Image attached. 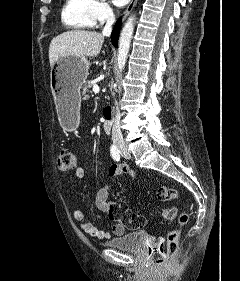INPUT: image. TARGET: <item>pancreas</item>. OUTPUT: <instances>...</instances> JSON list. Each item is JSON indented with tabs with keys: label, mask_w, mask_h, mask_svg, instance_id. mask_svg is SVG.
I'll use <instances>...</instances> for the list:
<instances>
[{
	"label": "pancreas",
	"mask_w": 240,
	"mask_h": 281,
	"mask_svg": "<svg viewBox=\"0 0 240 281\" xmlns=\"http://www.w3.org/2000/svg\"><path fill=\"white\" fill-rule=\"evenodd\" d=\"M94 85L93 81H88L84 86H83V91L82 95L84 99L89 98V93H91L90 88Z\"/></svg>",
	"instance_id": "obj_1"
}]
</instances>
